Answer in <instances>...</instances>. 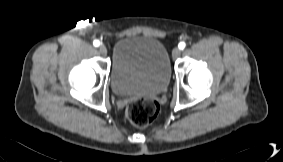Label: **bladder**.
Segmentation results:
<instances>
[{
    "instance_id": "1",
    "label": "bladder",
    "mask_w": 283,
    "mask_h": 162,
    "mask_svg": "<svg viewBox=\"0 0 283 162\" xmlns=\"http://www.w3.org/2000/svg\"><path fill=\"white\" fill-rule=\"evenodd\" d=\"M170 77L169 54L158 39L132 35L115 43L110 80L116 95L160 94L168 87Z\"/></svg>"
}]
</instances>
